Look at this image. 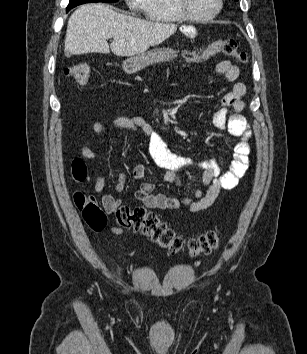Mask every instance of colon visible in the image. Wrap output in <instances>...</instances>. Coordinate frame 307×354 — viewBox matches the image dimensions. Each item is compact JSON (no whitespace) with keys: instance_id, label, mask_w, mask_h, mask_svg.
<instances>
[{"instance_id":"5ec220e1","label":"colon","mask_w":307,"mask_h":354,"mask_svg":"<svg viewBox=\"0 0 307 354\" xmlns=\"http://www.w3.org/2000/svg\"><path fill=\"white\" fill-rule=\"evenodd\" d=\"M216 54H224L235 58L241 63L246 62V54L238 49L237 42L233 39L218 40L200 51H185L184 58L188 62H201ZM65 75L80 85L87 84L90 79V69L87 64L79 63L68 67ZM73 175L78 181L86 178L87 171L84 162L76 159L73 162ZM74 202L88 226L95 230H102L107 222L106 212L115 214V231L121 233L126 229H133L152 239L160 247L167 249L171 254H179L185 250L191 256L208 254L219 243V233L211 230L187 242L176 234L166 223L162 222L155 213L147 211L144 207H128L119 205L109 210L104 209L92 196L81 192L74 194Z\"/></svg>"}]
</instances>
